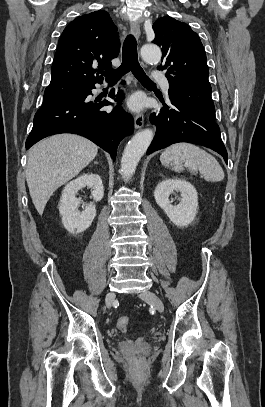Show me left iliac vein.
<instances>
[{"label": "left iliac vein", "mask_w": 265, "mask_h": 407, "mask_svg": "<svg viewBox=\"0 0 265 407\" xmlns=\"http://www.w3.org/2000/svg\"><path fill=\"white\" fill-rule=\"evenodd\" d=\"M140 298L151 305L160 313L164 311V304L162 300L152 291L150 290H144L140 294Z\"/></svg>", "instance_id": "4c4485c4"}]
</instances>
